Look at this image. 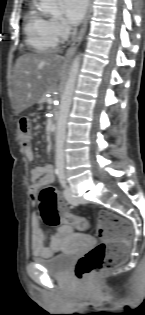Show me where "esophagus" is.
<instances>
[{
	"label": "esophagus",
	"mask_w": 145,
	"mask_h": 315,
	"mask_svg": "<svg viewBox=\"0 0 145 315\" xmlns=\"http://www.w3.org/2000/svg\"><path fill=\"white\" fill-rule=\"evenodd\" d=\"M90 9H91V0H88V3H87V10H86V15H85V18H84V21H83V24L79 30V33L78 35L76 36V38L74 39L71 47L67 50V53H66V58H70L72 57V55L75 53L77 47L80 45L83 37H84V34L86 32V29H87V25H88V20H89V15H90Z\"/></svg>",
	"instance_id": "34e87169"
}]
</instances>
